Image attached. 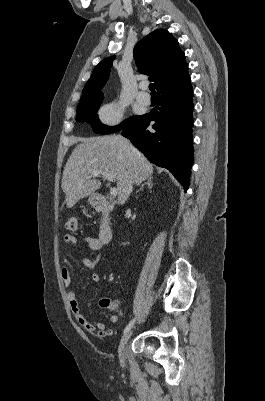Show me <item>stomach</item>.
Instances as JSON below:
<instances>
[{
	"instance_id": "1",
	"label": "stomach",
	"mask_w": 265,
	"mask_h": 401,
	"mask_svg": "<svg viewBox=\"0 0 265 401\" xmlns=\"http://www.w3.org/2000/svg\"><path fill=\"white\" fill-rule=\"evenodd\" d=\"M89 203H90V205H95L93 196H91V198H89Z\"/></svg>"
}]
</instances>
